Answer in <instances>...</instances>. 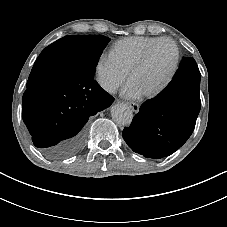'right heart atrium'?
Returning a JSON list of instances; mask_svg holds the SVG:
<instances>
[{
    "label": "right heart atrium",
    "mask_w": 227,
    "mask_h": 227,
    "mask_svg": "<svg viewBox=\"0 0 227 227\" xmlns=\"http://www.w3.org/2000/svg\"><path fill=\"white\" fill-rule=\"evenodd\" d=\"M127 74L108 55L102 54L95 66L97 85L106 93L114 94L125 82Z\"/></svg>",
    "instance_id": "obj_1"
}]
</instances>
